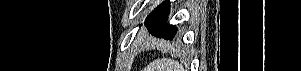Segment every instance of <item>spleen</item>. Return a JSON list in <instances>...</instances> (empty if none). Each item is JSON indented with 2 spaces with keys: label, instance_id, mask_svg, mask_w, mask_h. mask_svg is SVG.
Instances as JSON below:
<instances>
[{
  "label": "spleen",
  "instance_id": "3e777b00",
  "mask_svg": "<svg viewBox=\"0 0 301 71\" xmlns=\"http://www.w3.org/2000/svg\"><path fill=\"white\" fill-rule=\"evenodd\" d=\"M146 71H184L182 65L170 58L157 59L150 63Z\"/></svg>",
  "mask_w": 301,
  "mask_h": 71
}]
</instances>
